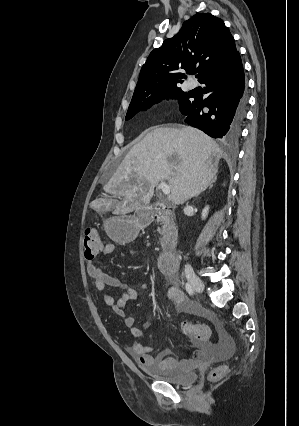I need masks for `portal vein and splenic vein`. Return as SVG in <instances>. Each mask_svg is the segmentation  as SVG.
Segmentation results:
<instances>
[{
  "label": "portal vein and splenic vein",
  "instance_id": "1",
  "mask_svg": "<svg viewBox=\"0 0 299 426\" xmlns=\"http://www.w3.org/2000/svg\"><path fill=\"white\" fill-rule=\"evenodd\" d=\"M158 187L162 190L163 194L165 195L170 194V186L166 184L165 182L161 181Z\"/></svg>",
  "mask_w": 299,
  "mask_h": 426
}]
</instances>
